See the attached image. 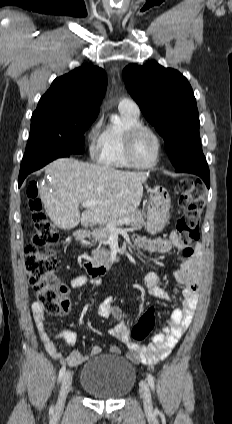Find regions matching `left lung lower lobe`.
I'll return each instance as SVG.
<instances>
[{
    "mask_svg": "<svg viewBox=\"0 0 232 424\" xmlns=\"http://www.w3.org/2000/svg\"><path fill=\"white\" fill-rule=\"evenodd\" d=\"M175 171L196 174L202 178L208 188L210 187L209 168L202 152L201 144L191 150L175 168Z\"/></svg>",
    "mask_w": 232,
    "mask_h": 424,
    "instance_id": "left-lung-lower-lobe-1",
    "label": "left lung lower lobe"
}]
</instances>
